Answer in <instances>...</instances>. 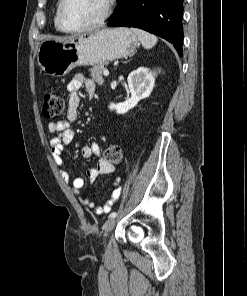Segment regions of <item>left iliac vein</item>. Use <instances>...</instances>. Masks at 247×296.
Wrapping results in <instances>:
<instances>
[{
	"mask_svg": "<svg viewBox=\"0 0 247 296\" xmlns=\"http://www.w3.org/2000/svg\"><path fill=\"white\" fill-rule=\"evenodd\" d=\"M115 223H116V219L115 218H109L105 223H104V226H103V230L105 233H108L110 232L114 226H115Z\"/></svg>",
	"mask_w": 247,
	"mask_h": 296,
	"instance_id": "left-iliac-vein-1",
	"label": "left iliac vein"
}]
</instances>
